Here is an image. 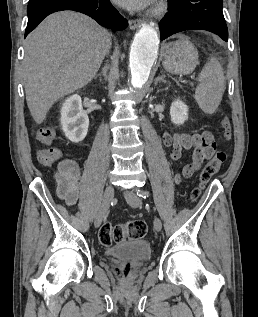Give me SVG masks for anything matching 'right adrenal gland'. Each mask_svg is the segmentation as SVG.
I'll return each mask as SVG.
<instances>
[{
	"mask_svg": "<svg viewBox=\"0 0 258 317\" xmlns=\"http://www.w3.org/2000/svg\"><path fill=\"white\" fill-rule=\"evenodd\" d=\"M108 68H109V66H107V64H105V66H103V68L101 70V74H102V76H104L105 80H107V78H108V74H107ZM97 76H100V74H96L95 78H97Z\"/></svg>",
	"mask_w": 258,
	"mask_h": 317,
	"instance_id": "right-adrenal-gland-1",
	"label": "right adrenal gland"
}]
</instances>
